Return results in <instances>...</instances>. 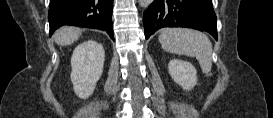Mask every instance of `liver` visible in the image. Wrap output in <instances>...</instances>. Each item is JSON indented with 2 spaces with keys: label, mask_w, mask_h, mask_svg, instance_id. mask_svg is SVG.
<instances>
[{
  "label": "liver",
  "mask_w": 273,
  "mask_h": 118,
  "mask_svg": "<svg viewBox=\"0 0 273 118\" xmlns=\"http://www.w3.org/2000/svg\"><path fill=\"white\" fill-rule=\"evenodd\" d=\"M81 30L75 27H62L54 34L55 42L58 45L68 46L78 40Z\"/></svg>",
  "instance_id": "liver-1"
}]
</instances>
